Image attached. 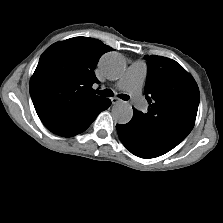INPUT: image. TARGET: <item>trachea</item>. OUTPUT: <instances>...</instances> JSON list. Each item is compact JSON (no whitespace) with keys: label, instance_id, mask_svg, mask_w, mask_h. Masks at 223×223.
Here are the masks:
<instances>
[{"label":"trachea","instance_id":"trachea-1","mask_svg":"<svg viewBox=\"0 0 223 223\" xmlns=\"http://www.w3.org/2000/svg\"><path fill=\"white\" fill-rule=\"evenodd\" d=\"M99 95H101L103 97H111V96H113V92L110 89H105V90L100 91ZM118 97L124 101H127L129 99V96L126 94H119Z\"/></svg>","mask_w":223,"mask_h":223}]
</instances>
